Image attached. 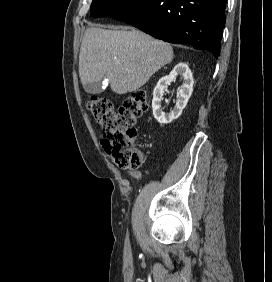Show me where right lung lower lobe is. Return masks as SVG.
<instances>
[{"mask_svg": "<svg viewBox=\"0 0 272 282\" xmlns=\"http://www.w3.org/2000/svg\"><path fill=\"white\" fill-rule=\"evenodd\" d=\"M227 0H137L110 17L166 42L187 43L217 58Z\"/></svg>", "mask_w": 272, "mask_h": 282, "instance_id": "1", "label": "right lung lower lobe"}]
</instances>
